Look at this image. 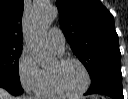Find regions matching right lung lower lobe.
I'll return each instance as SVG.
<instances>
[{"label": "right lung lower lobe", "instance_id": "98d812e1", "mask_svg": "<svg viewBox=\"0 0 128 99\" xmlns=\"http://www.w3.org/2000/svg\"><path fill=\"white\" fill-rule=\"evenodd\" d=\"M0 87L6 89L9 93L13 95H20L23 93L21 85H16L4 79H0Z\"/></svg>", "mask_w": 128, "mask_h": 99}]
</instances>
